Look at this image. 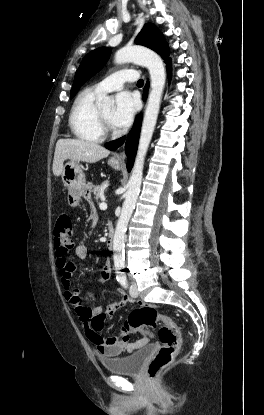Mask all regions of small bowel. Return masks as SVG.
<instances>
[{
  "label": "small bowel",
  "mask_w": 264,
  "mask_h": 415,
  "mask_svg": "<svg viewBox=\"0 0 264 415\" xmlns=\"http://www.w3.org/2000/svg\"><path fill=\"white\" fill-rule=\"evenodd\" d=\"M95 219L98 220V214L95 209L91 213V221ZM89 253V247L85 243H81L76 246L75 254L78 259H84ZM68 251L58 250L56 253V262L57 266L60 269L61 281L64 288V298L70 305L72 311L81 321L82 328L86 336L95 344L99 354L103 358H111L118 356L122 352L132 353L136 349L147 344V338H141L133 343H126L121 340V334L113 337L107 341L102 338L99 341H94L91 339V336L95 334L91 328L90 323V314L91 308H86L81 300V289L76 288L72 284L71 275L72 272L77 269L76 263L70 261L67 257ZM111 275V266L108 262L103 264L99 271V277L95 279V282L99 285H104L107 283ZM120 298L114 302H110L103 306L102 310L107 316H112L118 312L122 307L132 304L134 299L129 295L125 294L123 291L119 292ZM125 326V323H124ZM123 326V327H124ZM130 332H136V328H127Z\"/></svg>",
  "instance_id": "c3829d8e"
}]
</instances>
